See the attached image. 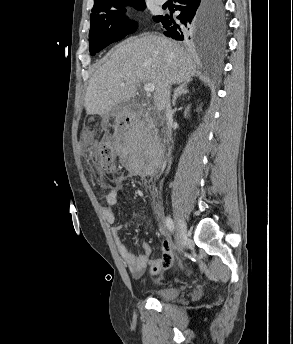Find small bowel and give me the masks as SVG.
Returning a JSON list of instances; mask_svg holds the SVG:
<instances>
[{
  "mask_svg": "<svg viewBox=\"0 0 293 344\" xmlns=\"http://www.w3.org/2000/svg\"><path fill=\"white\" fill-rule=\"evenodd\" d=\"M119 190L120 185L116 186L107 193L105 197L106 205L103 207V215L106 221L109 224H112L111 234L115 247L121 259L125 263L128 271L130 272L132 277L140 278L144 275L148 266L150 267V270L153 274H157L162 270L169 268L174 258V250L170 244L169 239L166 237V231L161 224L158 225L159 233L163 237L160 245V249L162 252V255L160 257L151 258L152 247L148 242H144L141 245L142 253L136 255L130 252L127 246L121 240L119 236L121 226L119 224H115L116 212L113 208L119 201ZM200 294V289H196L193 291L194 297Z\"/></svg>",
  "mask_w": 293,
  "mask_h": 344,
  "instance_id": "c3829d8e",
  "label": "small bowel"
}]
</instances>
